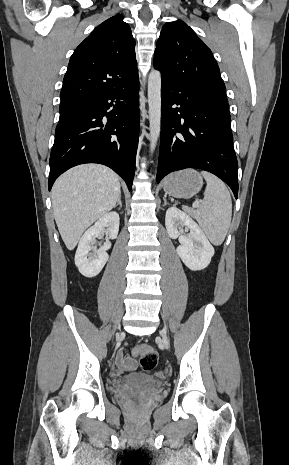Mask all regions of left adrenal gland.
<instances>
[{
  "label": "left adrenal gland",
  "mask_w": 289,
  "mask_h": 465,
  "mask_svg": "<svg viewBox=\"0 0 289 465\" xmlns=\"http://www.w3.org/2000/svg\"><path fill=\"white\" fill-rule=\"evenodd\" d=\"M163 201H164V204H163V206H166V205H167V201H166V195L164 196V198H163Z\"/></svg>",
  "instance_id": "left-adrenal-gland-1"
}]
</instances>
